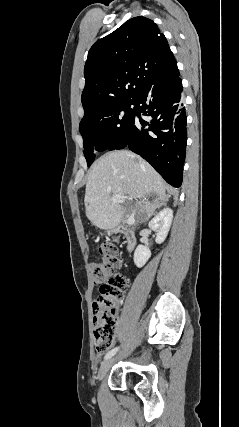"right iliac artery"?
<instances>
[{
	"mask_svg": "<svg viewBox=\"0 0 239 427\" xmlns=\"http://www.w3.org/2000/svg\"><path fill=\"white\" fill-rule=\"evenodd\" d=\"M119 347H116L112 350H110L104 357L105 360L111 358L117 351H118Z\"/></svg>",
	"mask_w": 239,
	"mask_h": 427,
	"instance_id": "obj_1",
	"label": "right iliac artery"
}]
</instances>
